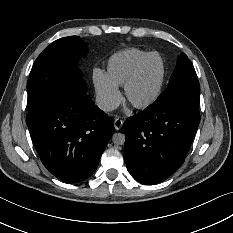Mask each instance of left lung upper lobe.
Returning a JSON list of instances; mask_svg holds the SVG:
<instances>
[{"instance_id":"left-lung-upper-lobe-1","label":"left lung upper lobe","mask_w":233,"mask_h":233,"mask_svg":"<svg viewBox=\"0 0 233 233\" xmlns=\"http://www.w3.org/2000/svg\"><path fill=\"white\" fill-rule=\"evenodd\" d=\"M199 95L200 86L195 69L186 54L181 53L167 89L157 98L154 104L199 106Z\"/></svg>"}]
</instances>
